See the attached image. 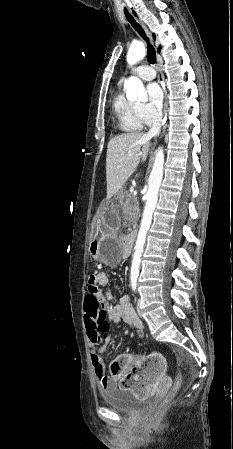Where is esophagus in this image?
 <instances>
[{
    "label": "esophagus",
    "mask_w": 233,
    "mask_h": 449,
    "mask_svg": "<svg viewBox=\"0 0 233 449\" xmlns=\"http://www.w3.org/2000/svg\"><path fill=\"white\" fill-rule=\"evenodd\" d=\"M129 12L130 14L133 16V18L143 27V29L145 30L149 40L153 43V37L151 32L149 31V29L147 28V26L144 24V22L142 21L139 13L137 12V10L133 9V8H129ZM167 109V102H166V98L164 99V107H163V112L165 114Z\"/></svg>",
    "instance_id": "34e87169"
}]
</instances>
